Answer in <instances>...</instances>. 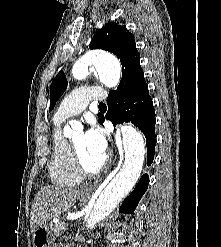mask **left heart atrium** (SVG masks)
Masks as SVG:
<instances>
[{"label":"left heart atrium","mask_w":221,"mask_h":247,"mask_svg":"<svg viewBox=\"0 0 221 247\" xmlns=\"http://www.w3.org/2000/svg\"><path fill=\"white\" fill-rule=\"evenodd\" d=\"M84 135L89 150L104 157L107 149V140L102 129L99 126L92 124Z\"/></svg>","instance_id":"obj_1"}]
</instances>
